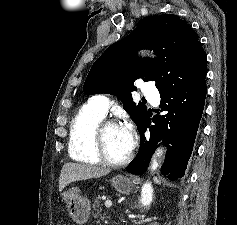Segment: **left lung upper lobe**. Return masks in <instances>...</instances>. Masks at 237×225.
<instances>
[{
    "label": "left lung upper lobe",
    "instance_id": "5c2ea615",
    "mask_svg": "<svg viewBox=\"0 0 237 225\" xmlns=\"http://www.w3.org/2000/svg\"><path fill=\"white\" fill-rule=\"evenodd\" d=\"M150 49L157 58L139 59ZM207 57L196 32L176 15L146 17L124 39L112 44L93 64L84 83L87 95L111 93L123 101L137 127L147 115L144 104L133 102L134 81H155L161 92L194 84L206 76Z\"/></svg>",
    "mask_w": 237,
    "mask_h": 225
}]
</instances>
